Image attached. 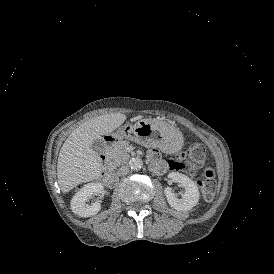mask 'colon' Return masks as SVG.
<instances>
[{"label": "colon", "mask_w": 274, "mask_h": 274, "mask_svg": "<svg viewBox=\"0 0 274 274\" xmlns=\"http://www.w3.org/2000/svg\"><path fill=\"white\" fill-rule=\"evenodd\" d=\"M205 146L201 142H192L187 148L175 154L171 160L175 170L187 168L193 172L197 167H203L200 185L203 197L212 200L216 190L215 174L212 168L204 166Z\"/></svg>", "instance_id": "obj_1"}]
</instances>
